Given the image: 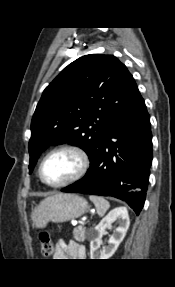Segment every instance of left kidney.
<instances>
[{
    "mask_svg": "<svg viewBox=\"0 0 175 287\" xmlns=\"http://www.w3.org/2000/svg\"><path fill=\"white\" fill-rule=\"evenodd\" d=\"M115 220L119 226L110 236L108 245L100 248L101 237L105 229L109 227ZM130 220L126 207H118L111 210L94 228L93 239L90 242V258L91 259H109L117 250L120 243L123 241L126 232L129 228Z\"/></svg>",
    "mask_w": 175,
    "mask_h": 287,
    "instance_id": "left-kidney-1",
    "label": "left kidney"
}]
</instances>
